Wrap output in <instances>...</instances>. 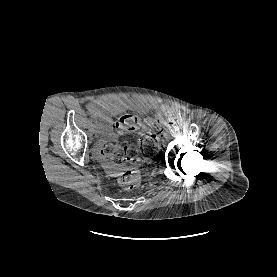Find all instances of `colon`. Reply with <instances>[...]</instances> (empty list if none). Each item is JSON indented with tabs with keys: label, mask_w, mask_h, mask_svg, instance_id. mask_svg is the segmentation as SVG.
<instances>
[{
	"label": "colon",
	"mask_w": 277,
	"mask_h": 277,
	"mask_svg": "<svg viewBox=\"0 0 277 277\" xmlns=\"http://www.w3.org/2000/svg\"><path fill=\"white\" fill-rule=\"evenodd\" d=\"M177 119L178 115L173 111L156 120L150 130L142 135L139 147L116 141L107 142L101 148V155L105 160L116 165L136 164L141 158L151 157L159 151V138ZM140 127L141 120L135 114L122 115L115 123V129L121 135L135 132ZM118 184L126 191L136 189L140 184L138 171L133 168L127 169L119 176Z\"/></svg>",
	"instance_id": "5ec220e1"
}]
</instances>
